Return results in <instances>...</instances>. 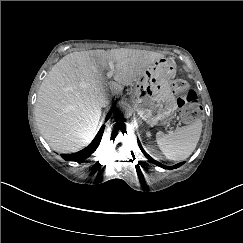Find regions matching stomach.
<instances>
[{
	"label": "stomach",
	"mask_w": 243,
	"mask_h": 243,
	"mask_svg": "<svg viewBox=\"0 0 243 243\" xmlns=\"http://www.w3.org/2000/svg\"><path fill=\"white\" fill-rule=\"evenodd\" d=\"M174 74V65L159 58L135 77L132 102L150 126L169 124L175 116L177 99L170 86Z\"/></svg>",
	"instance_id": "0dacf381"
}]
</instances>
